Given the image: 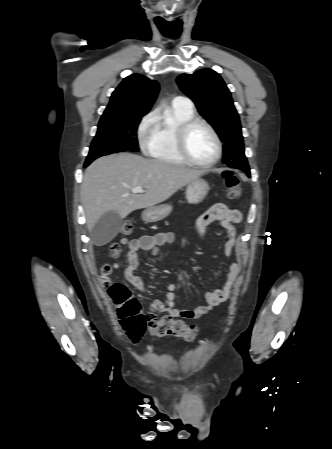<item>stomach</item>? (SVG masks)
I'll use <instances>...</instances> for the list:
<instances>
[{
  "label": "stomach",
  "instance_id": "0dacf381",
  "mask_svg": "<svg viewBox=\"0 0 332 449\" xmlns=\"http://www.w3.org/2000/svg\"><path fill=\"white\" fill-rule=\"evenodd\" d=\"M209 191L208 183L201 178L192 180L187 184L186 199L189 204L201 203ZM172 211V206L163 204L146 208L142 212V219L145 222H157L166 218Z\"/></svg>",
  "mask_w": 332,
  "mask_h": 449
}]
</instances>
